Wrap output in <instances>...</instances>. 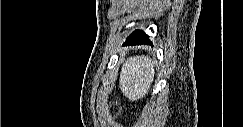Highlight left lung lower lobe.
I'll use <instances>...</instances> for the list:
<instances>
[{
	"label": "left lung lower lobe",
	"instance_id": "left-lung-lower-lobe-1",
	"mask_svg": "<svg viewBox=\"0 0 243 127\" xmlns=\"http://www.w3.org/2000/svg\"><path fill=\"white\" fill-rule=\"evenodd\" d=\"M143 44H151L152 42L149 40V36L141 30L134 31L129 37H127L126 41L123 45L127 46H136Z\"/></svg>",
	"mask_w": 243,
	"mask_h": 127
}]
</instances>
